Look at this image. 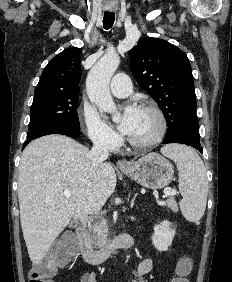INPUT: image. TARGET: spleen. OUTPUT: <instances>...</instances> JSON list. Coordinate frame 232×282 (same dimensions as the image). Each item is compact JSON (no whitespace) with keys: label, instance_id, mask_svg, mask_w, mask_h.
<instances>
[{"label":"spleen","instance_id":"obj_1","mask_svg":"<svg viewBox=\"0 0 232 282\" xmlns=\"http://www.w3.org/2000/svg\"><path fill=\"white\" fill-rule=\"evenodd\" d=\"M161 152L176 163L183 216L188 221L198 222L205 212L208 191L203 161L192 148L184 145H169Z\"/></svg>","mask_w":232,"mask_h":282}]
</instances>
